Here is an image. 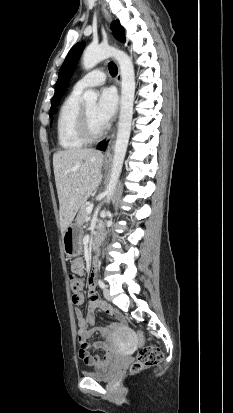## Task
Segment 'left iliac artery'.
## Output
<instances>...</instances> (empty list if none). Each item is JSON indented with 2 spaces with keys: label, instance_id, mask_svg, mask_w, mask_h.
<instances>
[{
  "label": "left iliac artery",
  "instance_id": "left-iliac-artery-1",
  "mask_svg": "<svg viewBox=\"0 0 233 413\" xmlns=\"http://www.w3.org/2000/svg\"><path fill=\"white\" fill-rule=\"evenodd\" d=\"M98 285L100 286V288H105V284L101 279L98 280Z\"/></svg>",
  "mask_w": 233,
  "mask_h": 413
}]
</instances>
